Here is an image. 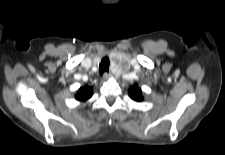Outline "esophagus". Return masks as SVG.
<instances>
[{
    "instance_id": "1",
    "label": "esophagus",
    "mask_w": 225,
    "mask_h": 155,
    "mask_svg": "<svg viewBox=\"0 0 225 155\" xmlns=\"http://www.w3.org/2000/svg\"><path fill=\"white\" fill-rule=\"evenodd\" d=\"M111 77H112V74L106 72V73H104V75H103V80H108V79H110Z\"/></svg>"
}]
</instances>
